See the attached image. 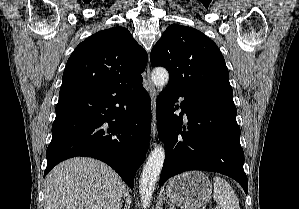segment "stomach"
Segmentation results:
<instances>
[{"instance_id": "1", "label": "stomach", "mask_w": 299, "mask_h": 209, "mask_svg": "<svg viewBox=\"0 0 299 209\" xmlns=\"http://www.w3.org/2000/svg\"><path fill=\"white\" fill-rule=\"evenodd\" d=\"M211 194L210 180L200 171L180 174L166 188L167 198L181 209H198L210 200Z\"/></svg>"}]
</instances>
